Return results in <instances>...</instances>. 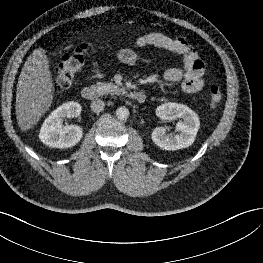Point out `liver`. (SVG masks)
<instances>
[{
  "label": "liver",
  "mask_w": 263,
  "mask_h": 263,
  "mask_svg": "<svg viewBox=\"0 0 263 263\" xmlns=\"http://www.w3.org/2000/svg\"><path fill=\"white\" fill-rule=\"evenodd\" d=\"M53 91L46 51L35 49L24 63L16 91V118L22 131L31 129L48 111Z\"/></svg>",
  "instance_id": "liver-1"
}]
</instances>
